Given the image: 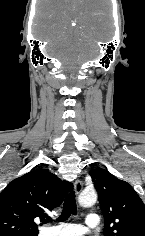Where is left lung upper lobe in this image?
Here are the masks:
<instances>
[{"label": "left lung upper lobe", "mask_w": 145, "mask_h": 236, "mask_svg": "<svg viewBox=\"0 0 145 236\" xmlns=\"http://www.w3.org/2000/svg\"><path fill=\"white\" fill-rule=\"evenodd\" d=\"M105 218V236H145V205L132 186L107 170L89 172Z\"/></svg>", "instance_id": "obj_1"}]
</instances>
